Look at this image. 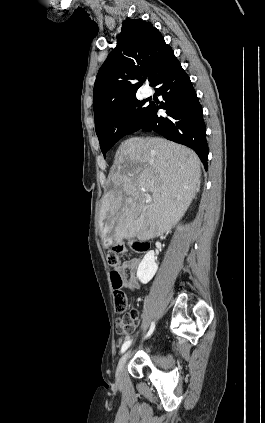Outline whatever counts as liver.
Wrapping results in <instances>:
<instances>
[{
	"label": "liver",
	"instance_id": "1",
	"mask_svg": "<svg viewBox=\"0 0 265 423\" xmlns=\"http://www.w3.org/2000/svg\"><path fill=\"white\" fill-rule=\"evenodd\" d=\"M200 164L193 150L162 138L122 142L112 166L114 187L101 199V238L112 229L117 243L171 230L200 189ZM148 195L152 200L146 205Z\"/></svg>",
	"mask_w": 265,
	"mask_h": 423
}]
</instances>
